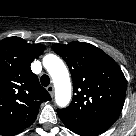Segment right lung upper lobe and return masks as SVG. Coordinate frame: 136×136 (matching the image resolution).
I'll use <instances>...</instances> for the list:
<instances>
[{
  "instance_id": "cb5924a9",
  "label": "right lung upper lobe",
  "mask_w": 136,
  "mask_h": 136,
  "mask_svg": "<svg viewBox=\"0 0 136 136\" xmlns=\"http://www.w3.org/2000/svg\"><path fill=\"white\" fill-rule=\"evenodd\" d=\"M44 51L42 44H28L20 37L0 41V134L14 136L36 119L39 106L51 100L31 62Z\"/></svg>"
}]
</instances>
